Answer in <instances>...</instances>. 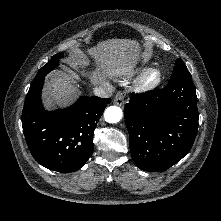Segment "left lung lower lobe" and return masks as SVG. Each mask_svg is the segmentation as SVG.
<instances>
[{
	"label": "left lung lower lobe",
	"mask_w": 221,
	"mask_h": 221,
	"mask_svg": "<svg viewBox=\"0 0 221 221\" xmlns=\"http://www.w3.org/2000/svg\"><path fill=\"white\" fill-rule=\"evenodd\" d=\"M124 115L136 165L149 172L170 168L190 151L197 134L192 78H177L160 90L133 94Z\"/></svg>",
	"instance_id": "1"
}]
</instances>
